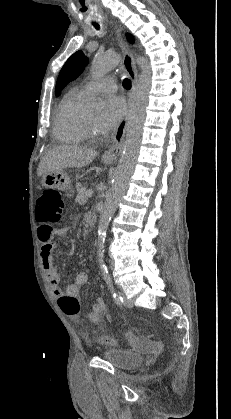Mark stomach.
<instances>
[{"mask_svg":"<svg viewBox=\"0 0 231 419\" xmlns=\"http://www.w3.org/2000/svg\"><path fill=\"white\" fill-rule=\"evenodd\" d=\"M105 163H110L109 160L104 159ZM41 184L46 188H54L65 191L68 196H72L73 188L68 175L62 171H55L44 174L41 178Z\"/></svg>","mask_w":231,"mask_h":419,"instance_id":"obj_1","label":"stomach"}]
</instances>
